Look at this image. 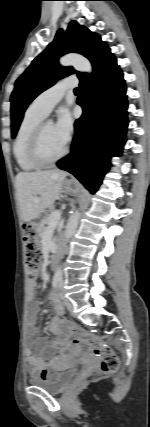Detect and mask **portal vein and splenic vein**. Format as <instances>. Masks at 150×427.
<instances>
[{
    "mask_svg": "<svg viewBox=\"0 0 150 427\" xmlns=\"http://www.w3.org/2000/svg\"><path fill=\"white\" fill-rule=\"evenodd\" d=\"M34 201L36 203H38L40 201V199L39 198H35ZM60 217H61L60 211H58V210L53 211L51 213V215H50V223H49V225L50 226L55 225L59 221Z\"/></svg>",
    "mask_w": 150,
    "mask_h": 427,
    "instance_id": "1",
    "label": "portal vein and splenic vein"
}]
</instances>
